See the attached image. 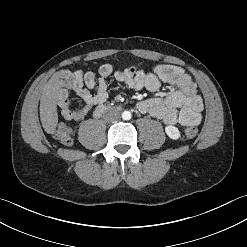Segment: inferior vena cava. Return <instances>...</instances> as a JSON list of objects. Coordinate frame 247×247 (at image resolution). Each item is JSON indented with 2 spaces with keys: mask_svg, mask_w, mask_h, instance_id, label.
<instances>
[{
  "mask_svg": "<svg viewBox=\"0 0 247 247\" xmlns=\"http://www.w3.org/2000/svg\"><path fill=\"white\" fill-rule=\"evenodd\" d=\"M104 118L106 121L108 122H114V121H118L120 119V114L117 110H108L105 115Z\"/></svg>",
  "mask_w": 247,
  "mask_h": 247,
  "instance_id": "1",
  "label": "inferior vena cava"
}]
</instances>
